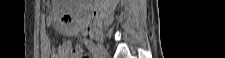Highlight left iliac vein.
Returning <instances> with one entry per match:
<instances>
[{
    "label": "left iliac vein",
    "mask_w": 225,
    "mask_h": 58,
    "mask_svg": "<svg viewBox=\"0 0 225 58\" xmlns=\"http://www.w3.org/2000/svg\"><path fill=\"white\" fill-rule=\"evenodd\" d=\"M96 55L98 58H105L107 55L106 48L103 45L98 44L96 46Z\"/></svg>",
    "instance_id": "obj_1"
}]
</instances>
